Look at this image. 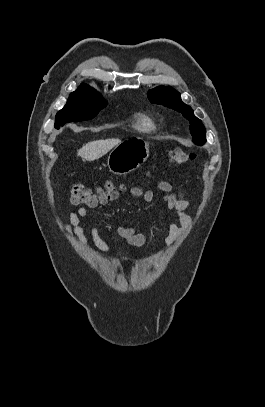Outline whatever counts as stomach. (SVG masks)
<instances>
[{"instance_id":"0dacf381","label":"stomach","mask_w":265,"mask_h":407,"mask_svg":"<svg viewBox=\"0 0 265 407\" xmlns=\"http://www.w3.org/2000/svg\"><path fill=\"white\" fill-rule=\"evenodd\" d=\"M148 157L149 144L142 139H131L114 147L107 165L112 173L125 175L137 169Z\"/></svg>"}]
</instances>
